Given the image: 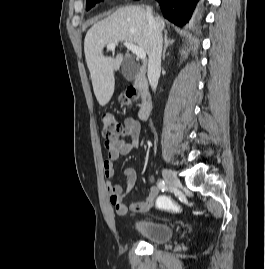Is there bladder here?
<instances>
[{"instance_id":"1","label":"bladder","mask_w":265,"mask_h":269,"mask_svg":"<svg viewBox=\"0 0 265 269\" xmlns=\"http://www.w3.org/2000/svg\"><path fill=\"white\" fill-rule=\"evenodd\" d=\"M134 232L151 243L161 244L172 239L173 228L167 224L139 220L134 225Z\"/></svg>"}]
</instances>
